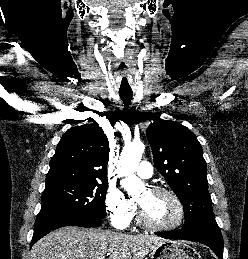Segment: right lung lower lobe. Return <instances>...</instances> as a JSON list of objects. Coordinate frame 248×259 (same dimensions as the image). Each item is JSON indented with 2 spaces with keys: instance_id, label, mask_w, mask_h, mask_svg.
Returning a JSON list of instances; mask_svg holds the SVG:
<instances>
[{
  "instance_id": "1",
  "label": "right lung lower lobe",
  "mask_w": 248,
  "mask_h": 259,
  "mask_svg": "<svg viewBox=\"0 0 248 259\" xmlns=\"http://www.w3.org/2000/svg\"><path fill=\"white\" fill-rule=\"evenodd\" d=\"M101 223V220L87 221L74 215L62 213L38 214L34 226V234L31 240V246L50 231L64 226L98 227L101 225Z\"/></svg>"
}]
</instances>
